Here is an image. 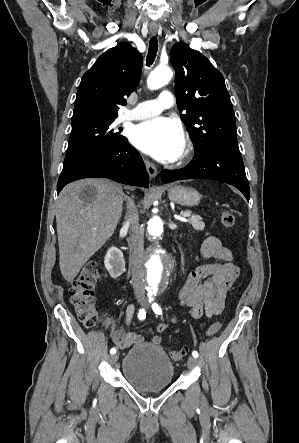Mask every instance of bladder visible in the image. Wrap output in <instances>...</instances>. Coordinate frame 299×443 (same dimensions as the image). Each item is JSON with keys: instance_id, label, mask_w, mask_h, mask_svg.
Returning a JSON list of instances; mask_svg holds the SVG:
<instances>
[{"instance_id": "obj_1", "label": "bladder", "mask_w": 299, "mask_h": 443, "mask_svg": "<svg viewBox=\"0 0 299 443\" xmlns=\"http://www.w3.org/2000/svg\"><path fill=\"white\" fill-rule=\"evenodd\" d=\"M175 368L160 346L139 344L122 361L123 378L138 391H156L170 386Z\"/></svg>"}]
</instances>
